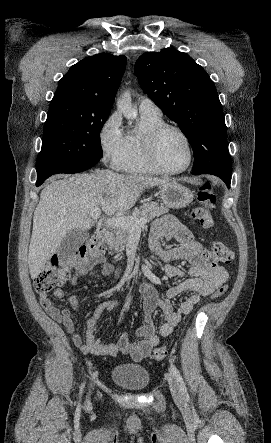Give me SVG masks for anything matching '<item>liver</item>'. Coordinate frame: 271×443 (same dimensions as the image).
I'll return each mask as SVG.
<instances>
[{
  "label": "liver",
  "mask_w": 271,
  "mask_h": 443,
  "mask_svg": "<svg viewBox=\"0 0 271 443\" xmlns=\"http://www.w3.org/2000/svg\"><path fill=\"white\" fill-rule=\"evenodd\" d=\"M41 192L34 212L28 249L32 279L38 277L46 261L56 253L70 229L86 231L93 225L90 210L102 208L107 216L133 208L146 188L167 184L149 176H122L110 170L96 174L54 176Z\"/></svg>",
  "instance_id": "1"
}]
</instances>
